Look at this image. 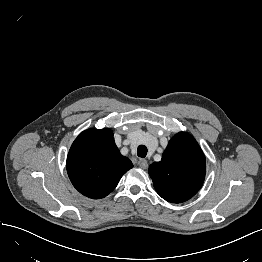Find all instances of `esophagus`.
<instances>
[{
	"instance_id": "obj_1",
	"label": "esophagus",
	"mask_w": 262,
	"mask_h": 262,
	"mask_svg": "<svg viewBox=\"0 0 262 262\" xmlns=\"http://www.w3.org/2000/svg\"><path fill=\"white\" fill-rule=\"evenodd\" d=\"M137 164L141 169H147L148 167V162L145 159H139Z\"/></svg>"
}]
</instances>
